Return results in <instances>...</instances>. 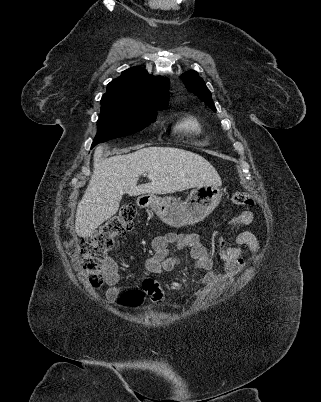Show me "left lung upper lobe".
<instances>
[{"label": "left lung upper lobe", "instance_id": "5c2ea615", "mask_svg": "<svg viewBox=\"0 0 321 402\" xmlns=\"http://www.w3.org/2000/svg\"><path fill=\"white\" fill-rule=\"evenodd\" d=\"M181 78L186 88L190 92L194 93L212 110L216 111V108L212 101L211 92L208 90L203 79L198 76L196 71L189 70L182 74Z\"/></svg>", "mask_w": 321, "mask_h": 402}]
</instances>
